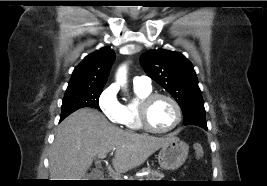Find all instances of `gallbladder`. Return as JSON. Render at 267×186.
Here are the masks:
<instances>
[{"mask_svg":"<svg viewBox=\"0 0 267 186\" xmlns=\"http://www.w3.org/2000/svg\"><path fill=\"white\" fill-rule=\"evenodd\" d=\"M91 177H93V172L88 173V174L85 175V178H91Z\"/></svg>","mask_w":267,"mask_h":186,"instance_id":"gallbladder-1","label":"gallbladder"}]
</instances>
